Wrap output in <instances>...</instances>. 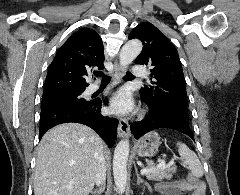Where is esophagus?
<instances>
[{
    "label": "esophagus",
    "mask_w": 240,
    "mask_h": 195,
    "mask_svg": "<svg viewBox=\"0 0 240 195\" xmlns=\"http://www.w3.org/2000/svg\"><path fill=\"white\" fill-rule=\"evenodd\" d=\"M123 75V69L118 62L114 64V78L120 80ZM118 136L119 137H129L130 128L127 119L120 118L118 124Z\"/></svg>",
    "instance_id": "1"
}]
</instances>
